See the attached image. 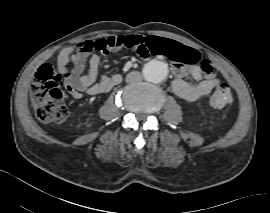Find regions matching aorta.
Segmentation results:
<instances>
[{"label": "aorta", "mask_w": 270, "mask_h": 213, "mask_svg": "<svg viewBox=\"0 0 270 213\" xmlns=\"http://www.w3.org/2000/svg\"><path fill=\"white\" fill-rule=\"evenodd\" d=\"M143 74L148 82L161 83L168 75V67L162 61L152 60L144 66Z\"/></svg>", "instance_id": "1"}]
</instances>
